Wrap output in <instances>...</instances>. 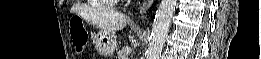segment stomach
<instances>
[{
	"label": "stomach",
	"mask_w": 261,
	"mask_h": 59,
	"mask_svg": "<svg viewBox=\"0 0 261 59\" xmlns=\"http://www.w3.org/2000/svg\"><path fill=\"white\" fill-rule=\"evenodd\" d=\"M116 45V36L112 33L101 31L95 36V47L103 56L113 55Z\"/></svg>",
	"instance_id": "1"
}]
</instances>
